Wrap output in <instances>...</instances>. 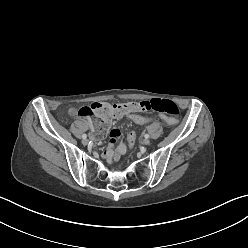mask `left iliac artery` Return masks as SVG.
<instances>
[{"mask_svg": "<svg viewBox=\"0 0 248 248\" xmlns=\"http://www.w3.org/2000/svg\"><path fill=\"white\" fill-rule=\"evenodd\" d=\"M144 137H145V138H149V135H148V134H145Z\"/></svg>", "mask_w": 248, "mask_h": 248, "instance_id": "obj_1", "label": "left iliac artery"}]
</instances>
